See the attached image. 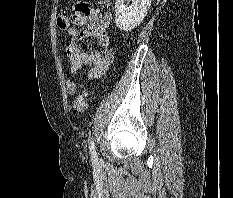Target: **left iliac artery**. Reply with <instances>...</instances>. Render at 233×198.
Segmentation results:
<instances>
[{
    "instance_id": "obj_1",
    "label": "left iliac artery",
    "mask_w": 233,
    "mask_h": 198,
    "mask_svg": "<svg viewBox=\"0 0 233 198\" xmlns=\"http://www.w3.org/2000/svg\"><path fill=\"white\" fill-rule=\"evenodd\" d=\"M88 142H89V150H90L91 158H92L94 163H97L98 156H97V152L95 149V144H94L93 138L89 137Z\"/></svg>"
}]
</instances>
